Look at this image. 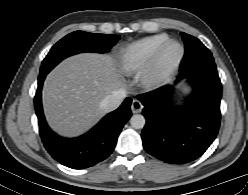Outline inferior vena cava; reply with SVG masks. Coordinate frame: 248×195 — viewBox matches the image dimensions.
<instances>
[{
  "instance_id": "602c4592",
  "label": "inferior vena cava",
  "mask_w": 248,
  "mask_h": 195,
  "mask_svg": "<svg viewBox=\"0 0 248 195\" xmlns=\"http://www.w3.org/2000/svg\"><path fill=\"white\" fill-rule=\"evenodd\" d=\"M126 97V90L123 88L112 91L99 104L100 108L105 112L115 110Z\"/></svg>"
}]
</instances>
